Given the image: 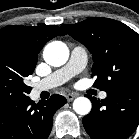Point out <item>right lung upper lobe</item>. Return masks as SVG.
<instances>
[{"instance_id": "obj_1", "label": "right lung upper lobe", "mask_w": 139, "mask_h": 139, "mask_svg": "<svg viewBox=\"0 0 139 139\" xmlns=\"http://www.w3.org/2000/svg\"><path fill=\"white\" fill-rule=\"evenodd\" d=\"M58 35H65V32L56 25L7 26L0 29V49L14 51L36 66L40 50Z\"/></svg>"}]
</instances>
